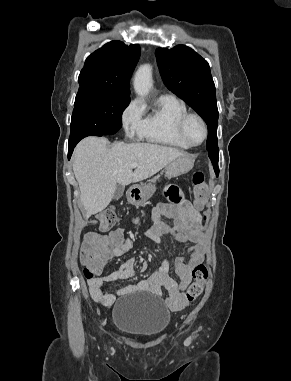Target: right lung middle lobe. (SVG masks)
<instances>
[{
    "mask_svg": "<svg viewBox=\"0 0 291 381\" xmlns=\"http://www.w3.org/2000/svg\"><path fill=\"white\" fill-rule=\"evenodd\" d=\"M130 98L97 90H79L71 119L69 142L87 136L116 133L122 126V112Z\"/></svg>",
    "mask_w": 291,
    "mask_h": 381,
    "instance_id": "obj_1",
    "label": "right lung middle lobe"
}]
</instances>
